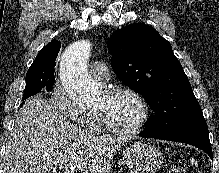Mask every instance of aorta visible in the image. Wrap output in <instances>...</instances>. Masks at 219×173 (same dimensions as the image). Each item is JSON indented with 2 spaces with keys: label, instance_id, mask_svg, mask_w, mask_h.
<instances>
[{
  "label": "aorta",
  "instance_id": "762f6f07",
  "mask_svg": "<svg viewBox=\"0 0 219 173\" xmlns=\"http://www.w3.org/2000/svg\"><path fill=\"white\" fill-rule=\"evenodd\" d=\"M91 54V43L80 40L71 44L63 53L60 64V77L65 91L79 102L94 100L99 92L96 83L87 71Z\"/></svg>",
  "mask_w": 219,
  "mask_h": 173
}]
</instances>
